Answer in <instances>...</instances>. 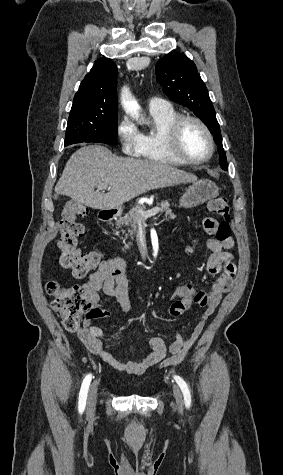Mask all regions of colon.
Returning <instances> with one entry per match:
<instances>
[{
  "mask_svg": "<svg viewBox=\"0 0 283 475\" xmlns=\"http://www.w3.org/2000/svg\"><path fill=\"white\" fill-rule=\"evenodd\" d=\"M210 212L218 215V224H227V233H218L216 238H230V205L226 197L220 196L208 202ZM60 229L61 234L58 239V249L60 251L59 261L62 267L69 270L76 278H83L94 272L101 263V255L98 252H84L78 245V239L83 235L84 228L81 220L87 216L86 206L68 200L61 209ZM46 290L52 296V310L61 319L64 328L69 332H76L81 325L82 317L88 309V300L80 285H61L55 280L46 283ZM188 293L194 292L193 286L187 287ZM192 298L184 296L183 300L172 304L169 308L171 317L183 314L191 307Z\"/></svg>",
  "mask_w": 283,
  "mask_h": 475,
  "instance_id": "5ec220e1",
  "label": "colon"
}]
</instances>
